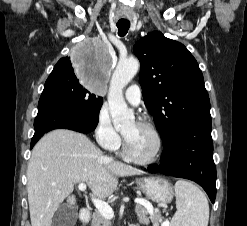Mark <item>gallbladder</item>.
<instances>
[{
	"instance_id": "1",
	"label": "gallbladder",
	"mask_w": 247,
	"mask_h": 226,
	"mask_svg": "<svg viewBox=\"0 0 247 226\" xmlns=\"http://www.w3.org/2000/svg\"><path fill=\"white\" fill-rule=\"evenodd\" d=\"M77 221L76 207H69L66 204L60 205L56 210L51 226H75Z\"/></svg>"
}]
</instances>
